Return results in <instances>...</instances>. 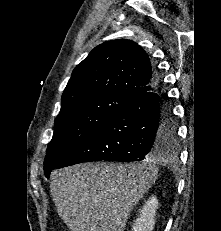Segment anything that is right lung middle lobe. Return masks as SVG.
Returning a JSON list of instances; mask_svg holds the SVG:
<instances>
[{
    "instance_id": "dd1d6c3e",
    "label": "right lung middle lobe",
    "mask_w": 221,
    "mask_h": 231,
    "mask_svg": "<svg viewBox=\"0 0 221 231\" xmlns=\"http://www.w3.org/2000/svg\"><path fill=\"white\" fill-rule=\"evenodd\" d=\"M129 100L100 95L81 99L62 108L54 124V134L49 143L44 160V172L49 174L80 145L88 140L105 122ZM173 120V118H172ZM175 131L170 135L177 141Z\"/></svg>"
}]
</instances>
